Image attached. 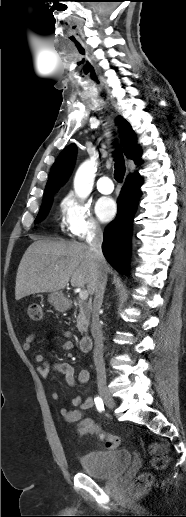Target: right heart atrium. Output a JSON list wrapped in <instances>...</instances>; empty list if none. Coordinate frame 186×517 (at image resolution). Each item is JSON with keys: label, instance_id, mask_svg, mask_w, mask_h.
Instances as JSON below:
<instances>
[{"label": "right heart atrium", "instance_id": "d8ad5b80", "mask_svg": "<svg viewBox=\"0 0 186 517\" xmlns=\"http://www.w3.org/2000/svg\"><path fill=\"white\" fill-rule=\"evenodd\" d=\"M59 211L61 228L71 237L87 240L101 233L89 205L76 195L70 193L64 196L60 201Z\"/></svg>", "mask_w": 186, "mask_h": 517}]
</instances>
